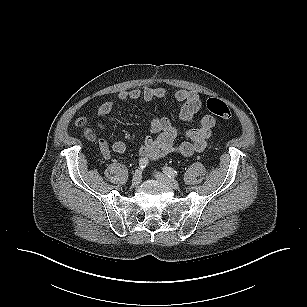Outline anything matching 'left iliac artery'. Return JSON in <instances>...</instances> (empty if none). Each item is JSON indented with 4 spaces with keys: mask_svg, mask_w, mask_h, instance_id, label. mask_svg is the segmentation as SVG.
Returning a JSON list of instances; mask_svg holds the SVG:
<instances>
[{
    "mask_svg": "<svg viewBox=\"0 0 307 307\" xmlns=\"http://www.w3.org/2000/svg\"><path fill=\"white\" fill-rule=\"evenodd\" d=\"M163 172L170 178H174L178 175L177 171L171 167H164Z\"/></svg>",
    "mask_w": 307,
    "mask_h": 307,
    "instance_id": "44dca946",
    "label": "left iliac artery"
}]
</instances>
